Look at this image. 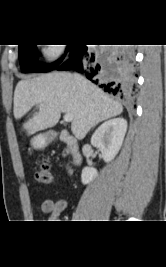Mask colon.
I'll return each instance as SVG.
<instances>
[{"mask_svg": "<svg viewBox=\"0 0 166 267\" xmlns=\"http://www.w3.org/2000/svg\"><path fill=\"white\" fill-rule=\"evenodd\" d=\"M35 177L38 182L49 184L52 181V173L48 160L41 161L36 167Z\"/></svg>", "mask_w": 166, "mask_h": 267, "instance_id": "5ec220e1", "label": "colon"}]
</instances>
